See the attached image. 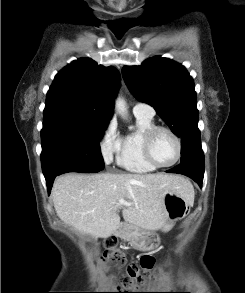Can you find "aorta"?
Masks as SVG:
<instances>
[{"label": "aorta", "mask_w": 245, "mask_h": 293, "mask_svg": "<svg viewBox=\"0 0 245 293\" xmlns=\"http://www.w3.org/2000/svg\"><path fill=\"white\" fill-rule=\"evenodd\" d=\"M115 109L116 111L123 117H127V108L126 103L123 99H117L115 102Z\"/></svg>", "instance_id": "1"}]
</instances>
